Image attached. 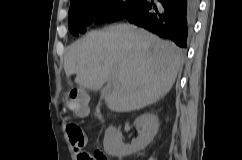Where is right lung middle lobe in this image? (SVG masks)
Segmentation results:
<instances>
[{
	"instance_id": "1",
	"label": "right lung middle lobe",
	"mask_w": 242,
	"mask_h": 160,
	"mask_svg": "<svg viewBox=\"0 0 242 160\" xmlns=\"http://www.w3.org/2000/svg\"><path fill=\"white\" fill-rule=\"evenodd\" d=\"M141 0H82L70 5L68 27L70 32L78 36L86 31L95 16L104 12L100 20L110 22L121 19L126 12L136 6Z\"/></svg>"
}]
</instances>
